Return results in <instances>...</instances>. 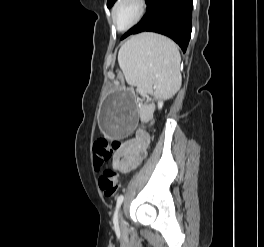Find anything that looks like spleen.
<instances>
[{"label":"spleen","instance_id":"spleen-1","mask_svg":"<svg viewBox=\"0 0 264 247\" xmlns=\"http://www.w3.org/2000/svg\"><path fill=\"white\" fill-rule=\"evenodd\" d=\"M181 56L176 44L156 33L132 37L119 50L118 63L129 85L139 93L154 89L172 97L181 86Z\"/></svg>","mask_w":264,"mask_h":247}]
</instances>
